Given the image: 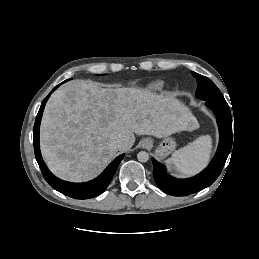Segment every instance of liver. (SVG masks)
<instances>
[{"instance_id": "obj_1", "label": "liver", "mask_w": 259, "mask_h": 259, "mask_svg": "<svg viewBox=\"0 0 259 259\" xmlns=\"http://www.w3.org/2000/svg\"><path fill=\"white\" fill-rule=\"evenodd\" d=\"M198 128L189 109L171 96L141 88H102L72 80L46 104L40 146L57 177L83 182L97 176L116 156L129 150L135 134L165 138ZM115 138L125 145L117 148Z\"/></svg>"}]
</instances>
